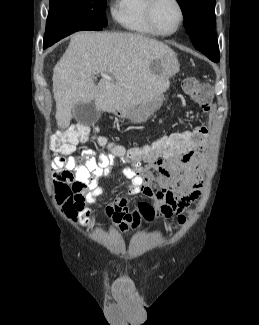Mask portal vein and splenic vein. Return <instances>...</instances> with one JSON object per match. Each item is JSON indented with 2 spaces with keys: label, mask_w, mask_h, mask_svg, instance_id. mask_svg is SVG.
I'll list each match as a JSON object with an SVG mask.
<instances>
[{
  "label": "portal vein and splenic vein",
  "mask_w": 259,
  "mask_h": 325,
  "mask_svg": "<svg viewBox=\"0 0 259 325\" xmlns=\"http://www.w3.org/2000/svg\"><path fill=\"white\" fill-rule=\"evenodd\" d=\"M101 76H102L103 78L107 79V80H112V77H110V76L107 75V74H103V73H101Z\"/></svg>",
  "instance_id": "portal-vein-and-splenic-vein-1"
}]
</instances>
